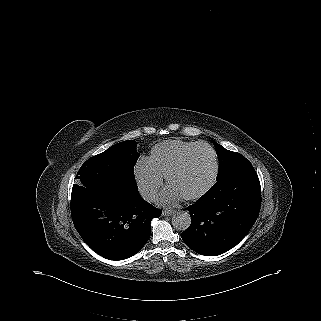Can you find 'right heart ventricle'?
Returning a JSON list of instances; mask_svg holds the SVG:
<instances>
[{
  "instance_id": "e07e8e85",
  "label": "right heart ventricle",
  "mask_w": 321,
  "mask_h": 321,
  "mask_svg": "<svg viewBox=\"0 0 321 321\" xmlns=\"http://www.w3.org/2000/svg\"><path fill=\"white\" fill-rule=\"evenodd\" d=\"M196 144L175 139L162 141L152 147L148 160L154 171L163 177Z\"/></svg>"
}]
</instances>
